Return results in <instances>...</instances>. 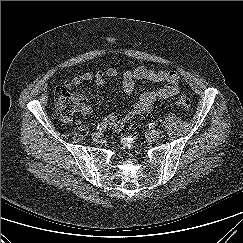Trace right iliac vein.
<instances>
[{"mask_svg": "<svg viewBox=\"0 0 243 243\" xmlns=\"http://www.w3.org/2000/svg\"><path fill=\"white\" fill-rule=\"evenodd\" d=\"M91 138H92L93 141L97 142L100 138V134L95 132V133L92 134Z\"/></svg>", "mask_w": 243, "mask_h": 243, "instance_id": "1", "label": "right iliac vein"}]
</instances>
